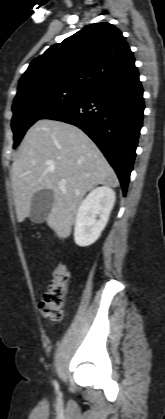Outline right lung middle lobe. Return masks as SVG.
<instances>
[{
  "instance_id": "right-lung-middle-lobe-1",
  "label": "right lung middle lobe",
  "mask_w": 165,
  "mask_h": 419,
  "mask_svg": "<svg viewBox=\"0 0 165 419\" xmlns=\"http://www.w3.org/2000/svg\"><path fill=\"white\" fill-rule=\"evenodd\" d=\"M87 93L74 88L52 87L15 99L11 124L14 133L13 148L18 146L27 129L37 120L54 110L76 102Z\"/></svg>"
}]
</instances>
